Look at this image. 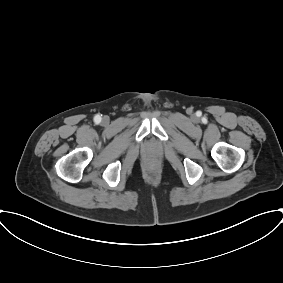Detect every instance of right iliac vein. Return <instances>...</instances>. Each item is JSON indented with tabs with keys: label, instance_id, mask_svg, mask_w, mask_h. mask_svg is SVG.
I'll list each match as a JSON object with an SVG mask.
<instances>
[{
	"label": "right iliac vein",
	"instance_id": "right-iliac-vein-1",
	"mask_svg": "<svg viewBox=\"0 0 283 283\" xmlns=\"http://www.w3.org/2000/svg\"><path fill=\"white\" fill-rule=\"evenodd\" d=\"M108 118L107 117H103V119H102V123H104V124H106V123H108Z\"/></svg>",
	"mask_w": 283,
	"mask_h": 283
}]
</instances>
